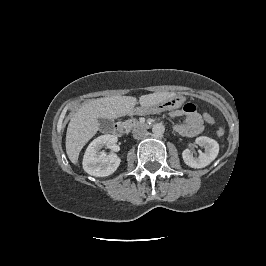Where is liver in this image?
<instances>
[{"mask_svg": "<svg viewBox=\"0 0 266 266\" xmlns=\"http://www.w3.org/2000/svg\"><path fill=\"white\" fill-rule=\"evenodd\" d=\"M173 96V92L142 95L139 103L142 107L152 106ZM136 102L137 99L132 96H110L92 99L82 105L67 127L66 153L70 161L77 163L80 151L99 130V118L116 119L131 114Z\"/></svg>", "mask_w": 266, "mask_h": 266, "instance_id": "liver-1", "label": "liver"}]
</instances>
